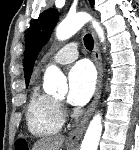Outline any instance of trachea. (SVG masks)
<instances>
[{"label": "trachea", "instance_id": "1", "mask_svg": "<svg viewBox=\"0 0 139 150\" xmlns=\"http://www.w3.org/2000/svg\"><path fill=\"white\" fill-rule=\"evenodd\" d=\"M84 45L88 50H92L93 49V38L91 36V34H86L84 36Z\"/></svg>", "mask_w": 139, "mask_h": 150}]
</instances>
